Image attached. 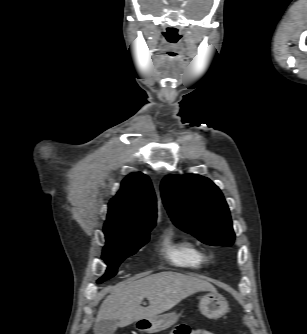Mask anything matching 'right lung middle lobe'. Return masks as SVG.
<instances>
[{"label":"right lung middle lobe","instance_id":"obj_1","mask_svg":"<svg viewBox=\"0 0 307 334\" xmlns=\"http://www.w3.org/2000/svg\"><path fill=\"white\" fill-rule=\"evenodd\" d=\"M152 228H145L133 232L106 235V245L103 249L102 259L108 268L97 283H101L117 273L120 263L127 257L135 254L149 240Z\"/></svg>","mask_w":307,"mask_h":334}]
</instances>
